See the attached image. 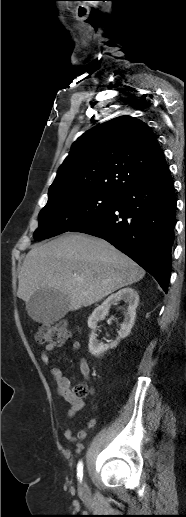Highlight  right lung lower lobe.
Returning <instances> with one entry per match:
<instances>
[{"instance_id": "1", "label": "right lung lower lobe", "mask_w": 186, "mask_h": 517, "mask_svg": "<svg viewBox=\"0 0 186 517\" xmlns=\"http://www.w3.org/2000/svg\"><path fill=\"white\" fill-rule=\"evenodd\" d=\"M175 210L174 182L168 169L126 190L110 209L71 231L108 241L148 271L167 293Z\"/></svg>"}]
</instances>
